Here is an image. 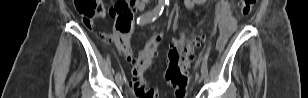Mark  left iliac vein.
Wrapping results in <instances>:
<instances>
[{"label": "left iliac vein", "instance_id": "left-iliac-vein-1", "mask_svg": "<svg viewBox=\"0 0 308 98\" xmlns=\"http://www.w3.org/2000/svg\"><path fill=\"white\" fill-rule=\"evenodd\" d=\"M206 77V74L202 73L201 74V79H204Z\"/></svg>", "mask_w": 308, "mask_h": 98}]
</instances>
